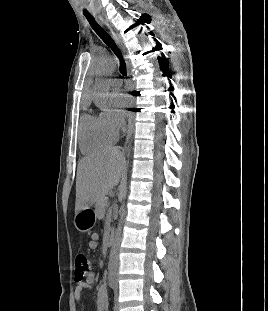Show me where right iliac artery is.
Here are the masks:
<instances>
[{"instance_id":"82829eb1","label":"right iliac artery","mask_w":268,"mask_h":311,"mask_svg":"<svg viewBox=\"0 0 268 311\" xmlns=\"http://www.w3.org/2000/svg\"><path fill=\"white\" fill-rule=\"evenodd\" d=\"M109 286H110L111 288H114V281H113V280H109Z\"/></svg>"}]
</instances>
